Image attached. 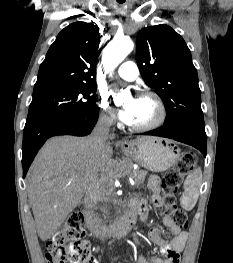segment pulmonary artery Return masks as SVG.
Masks as SVG:
<instances>
[{
	"label": "pulmonary artery",
	"mask_w": 233,
	"mask_h": 263,
	"mask_svg": "<svg viewBox=\"0 0 233 263\" xmlns=\"http://www.w3.org/2000/svg\"><path fill=\"white\" fill-rule=\"evenodd\" d=\"M117 73L122 79L126 81H134L139 75L138 67L132 61H126L122 63L119 66Z\"/></svg>",
	"instance_id": "pulmonary-artery-1"
}]
</instances>
